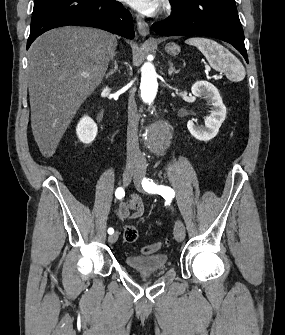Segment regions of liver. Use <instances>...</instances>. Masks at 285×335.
I'll return each mask as SVG.
<instances>
[{
	"mask_svg": "<svg viewBox=\"0 0 285 335\" xmlns=\"http://www.w3.org/2000/svg\"><path fill=\"white\" fill-rule=\"evenodd\" d=\"M116 46L113 34L79 26L50 30L33 42L28 50L31 128L45 158L55 154L77 110L101 84Z\"/></svg>",
	"mask_w": 285,
	"mask_h": 335,
	"instance_id": "obj_1",
	"label": "liver"
}]
</instances>
